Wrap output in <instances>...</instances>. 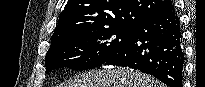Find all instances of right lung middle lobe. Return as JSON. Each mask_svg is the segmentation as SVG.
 <instances>
[{"mask_svg": "<svg viewBox=\"0 0 205 87\" xmlns=\"http://www.w3.org/2000/svg\"><path fill=\"white\" fill-rule=\"evenodd\" d=\"M134 29L106 28L74 34L51 44L45 57L46 74L67 67L87 70L104 64L130 39Z\"/></svg>", "mask_w": 205, "mask_h": 87, "instance_id": "right-lung-middle-lobe-1", "label": "right lung middle lobe"}]
</instances>
